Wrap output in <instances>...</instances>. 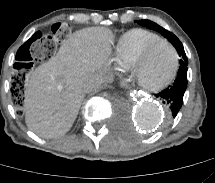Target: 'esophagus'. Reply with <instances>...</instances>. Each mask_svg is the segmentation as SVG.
I'll list each match as a JSON object with an SVG mask.
<instances>
[{
  "label": "esophagus",
  "instance_id": "1",
  "mask_svg": "<svg viewBox=\"0 0 215 183\" xmlns=\"http://www.w3.org/2000/svg\"><path fill=\"white\" fill-rule=\"evenodd\" d=\"M123 87H128L129 86V80L128 79H125L123 81V84H122Z\"/></svg>",
  "mask_w": 215,
  "mask_h": 183
}]
</instances>
